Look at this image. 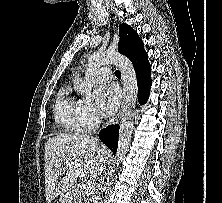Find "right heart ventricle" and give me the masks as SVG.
Here are the masks:
<instances>
[{"label": "right heart ventricle", "instance_id": "right-heart-ventricle-1", "mask_svg": "<svg viewBox=\"0 0 222 203\" xmlns=\"http://www.w3.org/2000/svg\"><path fill=\"white\" fill-rule=\"evenodd\" d=\"M54 116L56 122L66 131L79 132L82 124L79 118L77 101L69 96L67 89H63L56 101Z\"/></svg>", "mask_w": 222, "mask_h": 203}]
</instances>
